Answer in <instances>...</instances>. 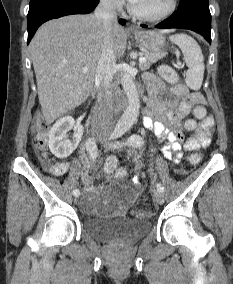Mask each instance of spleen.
Segmentation results:
<instances>
[{"instance_id":"3e777b00","label":"spleen","mask_w":233,"mask_h":284,"mask_svg":"<svg viewBox=\"0 0 233 284\" xmlns=\"http://www.w3.org/2000/svg\"><path fill=\"white\" fill-rule=\"evenodd\" d=\"M170 40L181 49L184 55L188 67L186 85L192 90H199L203 82L205 69L200 46L192 37L185 34L172 35Z\"/></svg>"}]
</instances>
